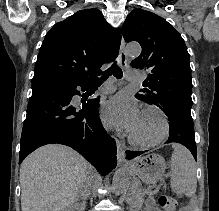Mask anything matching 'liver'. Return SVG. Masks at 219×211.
Wrapping results in <instances>:
<instances>
[{"instance_id":"liver-1","label":"liver","mask_w":219,"mask_h":211,"mask_svg":"<svg viewBox=\"0 0 219 211\" xmlns=\"http://www.w3.org/2000/svg\"><path fill=\"white\" fill-rule=\"evenodd\" d=\"M95 169L67 145H42L20 167L22 211H67Z\"/></svg>"}]
</instances>
